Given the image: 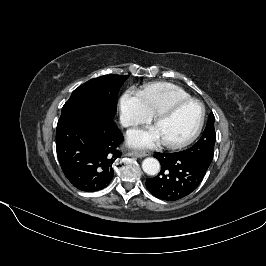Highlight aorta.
Segmentation results:
<instances>
[{"instance_id": "762f6f07", "label": "aorta", "mask_w": 266, "mask_h": 266, "mask_svg": "<svg viewBox=\"0 0 266 266\" xmlns=\"http://www.w3.org/2000/svg\"><path fill=\"white\" fill-rule=\"evenodd\" d=\"M142 169L148 175H156L160 171V163L156 158H146L142 162Z\"/></svg>"}]
</instances>
